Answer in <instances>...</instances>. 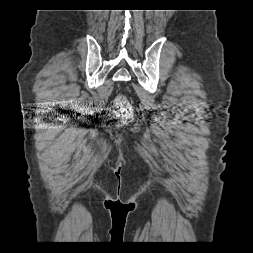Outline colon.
Wrapping results in <instances>:
<instances>
[{"instance_id": "colon-1", "label": "colon", "mask_w": 253, "mask_h": 253, "mask_svg": "<svg viewBox=\"0 0 253 253\" xmlns=\"http://www.w3.org/2000/svg\"><path fill=\"white\" fill-rule=\"evenodd\" d=\"M113 104L115 114L122 123H127L132 119V106L123 94H118L114 98Z\"/></svg>"}]
</instances>
